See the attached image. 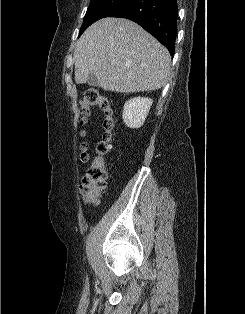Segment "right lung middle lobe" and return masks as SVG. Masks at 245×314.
Returning <instances> with one entry per match:
<instances>
[{"mask_svg": "<svg viewBox=\"0 0 245 314\" xmlns=\"http://www.w3.org/2000/svg\"><path fill=\"white\" fill-rule=\"evenodd\" d=\"M126 0H91L85 14L79 36L94 22L104 18L107 13L121 5Z\"/></svg>", "mask_w": 245, "mask_h": 314, "instance_id": "1", "label": "right lung middle lobe"}]
</instances>
